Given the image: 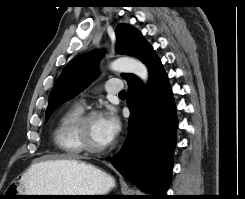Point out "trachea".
Instances as JSON below:
<instances>
[{"instance_id": "trachea-1", "label": "trachea", "mask_w": 245, "mask_h": 199, "mask_svg": "<svg viewBox=\"0 0 245 199\" xmlns=\"http://www.w3.org/2000/svg\"><path fill=\"white\" fill-rule=\"evenodd\" d=\"M119 96H120V97H125V96H126V91H125V90L121 91V92L119 93Z\"/></svg>"}]
</instances>
